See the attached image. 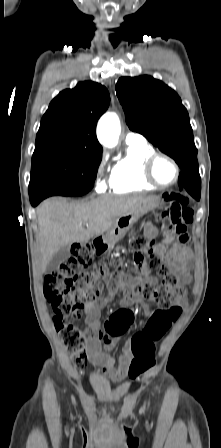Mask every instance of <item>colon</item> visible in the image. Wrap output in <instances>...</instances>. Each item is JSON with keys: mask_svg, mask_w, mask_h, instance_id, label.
<instances>
[{"mask_svg": "<svg viewBox=\"0 0 221 448\" xmlns=\"http://www.w3.org/2000/svg\"><path fill=\"white\" fill-rule=\"evenodd\" d=\"M164 206L156 219L162 223L166 237L185 239L187 226L193 220V210L187 197L176 193L163 196ZM154 237L131 235V246L136 254V261L146 264L161 279L159 287L148 284H136L134 291L144 298L154 301L159 309L144 324L141 332L149 339L134 336L132 348L134 359L129 367V378L136 380L155 364L154 342L159 340L178 320L182 309L175 304V299L182 293L179 278L155 253ZM105 277L102 267L93 263L92 248L88 244L75 245L70 257L62 262L58 269L45 277L44 295L54 312V326L60 334L63 344L71 353L73 363L83 368L86 363L85 344L88 334L70 319L87 303L95 301L100 294L101 278Z\"/></svg>", "mask_w": 221, "mask_h": 448, "instance_id": "5ec220e1", "label": "colon"}]
</instances>
